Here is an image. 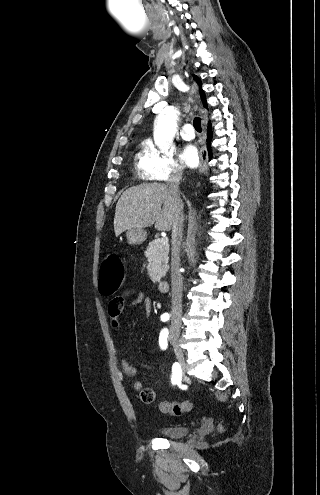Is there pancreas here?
Instances as JSON below:
<instances>
[{
    "label": "pancreas",
    "instance_id": "obj_1",
    "mask_svg": "<svg viewBox=\"0 0 320 495\" xmlns=\"http://www.w3.org/2000/svg\"><path fill=\"white\" fill-rule=\"evenodd\" d=\"M169 245H163L161 239H155L149 243L146 250L148 258L147 270L153 283H158L168 271Z\"/></svg>",
    "mask_w": 320,
    "mask_h": 495
}]
</instances>
